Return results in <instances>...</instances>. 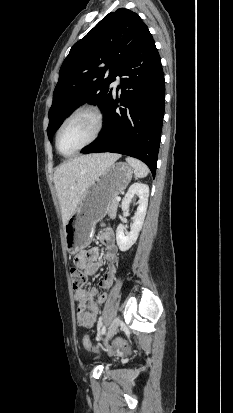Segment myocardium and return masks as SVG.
Here are the masks:
<instances>
[{
    "mask_svg": "<svg viewBox=\"0 0 233 413\" xmlns=\"http://www.w3.org/2000/svg\"><path fill=\"white\" fill-rule=\"evenodd\" d=\"M83 113H87L90 114L94 117L95 121H96V127H95V131L93 133V135L91 136V138L84 143L82 146H80L79 148H77L76 150H74L73 152L69 153V154H64L60 148H59V137L61 134V131L63 130V128L65 127V125L72 120L74 117L83 114ZM104 128V118H103V114L101 112V110L94 106V105H82L78 108H76L72 113H70L61 123V125L59 126L56 136H55V146L57 151L59 152V154H61L64 157H70L73 156L75 154H77L78 152H80L81 150H83L84 148H86L87 146L91 145L93 142H95L99 136L101 135L102 131Z\"/></svg>",
    "mask_w": 233,
    "mask_h": 413,
    "instance_id": "myocardium-1",
    "label": "myocardium"
}]
</instances>
